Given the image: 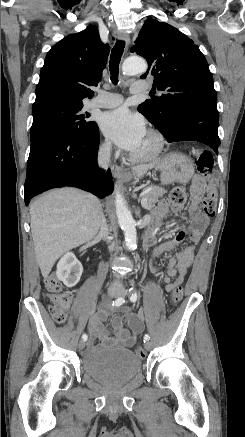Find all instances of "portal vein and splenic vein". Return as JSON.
Segmentation results:
<instances>
[{
  "instance_id": "18ae733b",
  "label": "portal vein and splenic vein",
  "mask_w": 245,
  "mask_h": 437,
  "mask_svg": "<svg viewBox=\"0 0 245 437\" xmlns=\"http://www.w3.org/2000/svg\"><path fill=\"white\" fill-rule=\"evenodd\" d=\"M140 197H142V199H141L142 207L145 209H149V206L147 205V200L145 198H143V194H141Z\"/></svg>"
}]
</instances>
